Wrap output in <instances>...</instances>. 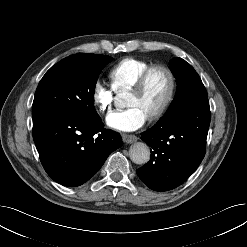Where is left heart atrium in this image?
Here are the masks:
<instances>
[{"mask_svg": "<svg viewBox=\"0 0 247 247\" xmlns=\"http://www.w3.org/2000/svg\"><path fill=\"white\" fill-rule=\"evenodd\" d=\"M147 119L148 115L140 107L132 106L112 112L108 115L106 122L113 129L131 132L141 128Z\"/></svg>", "mask_w": 247, "mask_h": 247, "instance_id": "left-heart-atrium-1", "label": "left heart atrium"}]
</instances>
